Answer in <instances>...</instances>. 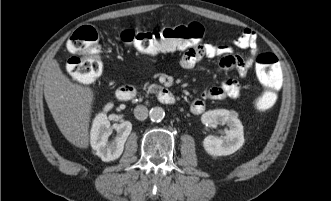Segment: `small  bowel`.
I'll list each match as a JSON object with an SVG mask.
<instances>
[{
	"label": "small bowel",
	"mask_w": 331,
	"mask_h": 201,
	"mask_svg": "<svg viewBox=\"0 0 331 201\" xmlns=\"http://www.w3.org/2000/svg\"><path fill=\"white\" fill-rule=\"evenodd\" d=\"M234 47L248 50L246 57L233 54ZM259 50L258 36L250 30L245 29L243 33L228 44H203L188 49L180 58L179 64L184 69H191L198 65L203 59L220 58L219 69H236L240 77H244L255 62ZM242 94L240 83L234 78H227L219 85L206 88L202 92V98L195 99L190 105V112L199 115L204 112L205 99L221 100L225 98H238Z\"/></svg>",
	"instance_id": "1"
}]
</instances>
